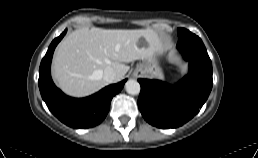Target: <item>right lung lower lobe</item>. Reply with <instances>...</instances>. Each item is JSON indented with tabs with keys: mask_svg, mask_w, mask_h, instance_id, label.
Masks as SVG:
<instances>
[{
	"mask_svg": "<svg viewBox=\"0 0 258 158\" xmlns=\"http://www.w3.org/2000/svg\"><path fill=\"white\" fill-rule=\"evenodd\" d=\"M65 30L50 44L39 68V89L49 110L64 124L73 128H90L100 124L109 112L112 98L119 93L126 80L107 86L86 98H71L62 93L50 75L52 55Z\"/></svg>",
	"mask_w": 258,
	"mask_h": 158,
	"instance_id": "obj_1",
	"label": "right lung lower lobe"
}]
</instances>
